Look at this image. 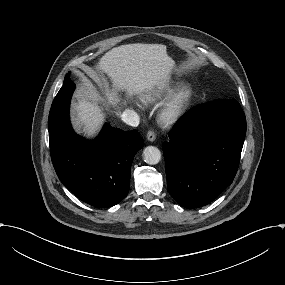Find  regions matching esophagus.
<instances>
[{"label":"esophagus","instance_id":"esophagus-1","mask_svg":"<svg viewBox=\"0 0 285 285\" xmlns=\"http://www.w3.org/2000/svg\"><path fill=\"white\" fill-rule=\"evenodd\" d=\"M147 139H148V141H150V142L155 141V139H156V134L154 133V131H148V133H147Z\"/></svg>","mask_w":285,"mask_h":285}]
</instances>
